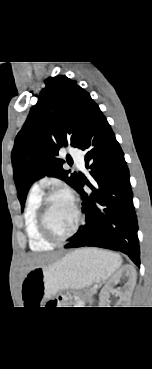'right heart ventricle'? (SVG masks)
Returning a JSON list of instances; mask_svg holds the SVG:
<instances>
[{
	"instance_id": "e07e8e85",
	"label": "right heart ventricle",
	"mask_w": 152,
	"mask_h": 369,
	"mask_svg": "<svg viewBox=\"0 0 152 369\" xmlns=\"http://www.w3.org/2000/svg\"><path fill=\"white\" fill-rule=\"evenodd\" d=\"M42 197L43 193L40 189H31L25 204V231L28 237L29 246L34 251H45L53 247V243L47 241L43 237L38 226V212Z\"/></svg>"
}]
</instances>
